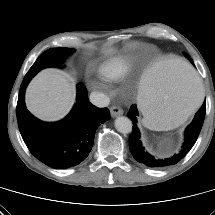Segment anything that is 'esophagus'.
<instances>
[{
    "instance_id": "1",
    "label": "esophagus",
    "mask_w": 215,
    "mask_h": 215,
    "mask_svg": "<svg viewBox=\"0 0 215 215\" xmlns=\"http://www.w3.org/2000/svg\"><path fill=\"white\" fill-rule=\"evenodd\" d=\"M110 113L112 117H116L123 114V110L120 107L112 106L110 108Z\"/></svg>"
}]
</instances>
